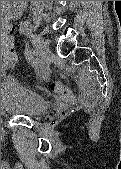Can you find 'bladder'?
Returning a JSON list of instances; mask_svg holds the SVG:
<instances>
[{
    "mask_svg": "<svg viewBox=\"0 0 121 169\" xmlns=\"http://www.w3.org/2000/svg\"><path fill=\"white\" fill-rule=\"evenodd\" d=\"M1 106L9 115L35 118L48 110L49 102L16 80L5 78L1 82Z\"/></svg>",
    "mask_w": 121,
    "mask_h": 169,
    "instance_id": "1",
    "label": "bladder"
}]
</instances>
